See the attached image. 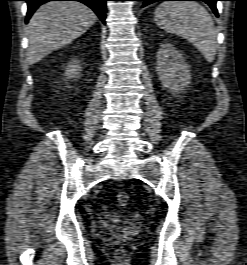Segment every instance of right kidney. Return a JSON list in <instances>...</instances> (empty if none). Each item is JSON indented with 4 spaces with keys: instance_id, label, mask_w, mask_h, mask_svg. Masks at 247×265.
Masks as SVG:
<instances>
[{
    "instance_id": "right-kidney-1",
    "label": "right kidney",
    "mask_w": 247,
    "mask_h": 265,
    "mask_svg": "<svg viewBox=\"0 0 247 265\" xmlns=\"http://www.w3.org/2000/svg\"><path fill=\"white\" fill-rule=\"evenodd\" d=\"M81 67L78 63V61L72 60L71 62L68 63L67 68L65 70V76L70 79V78H77L79 77V71Z\"/></svg>"
}]
</instances>
